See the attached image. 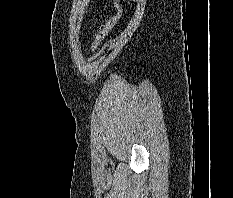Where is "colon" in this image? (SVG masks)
I'll return each mask as SVG.
<instances>
[{
    "label": "colon",
    "instance_id": "5ec220e1",
    "mask_svg": "<svg viewBox=\"0 0 233 198\" xmlns=\"http://www.w3.org/2000/svg\"><path fill=\"white\" fill-rule=\"evenodd\" d=\"M115 7L117 9L116 14L111 17L107 23L102 27L99 33L96 35L94 43L92 45V51H95L101 42L108 36V34L114 29V27L122 19L124 9L120 0H114Z\"/></svg>",
    "mask_w": 233,
    "mask_h": 198
}]
</instances>
